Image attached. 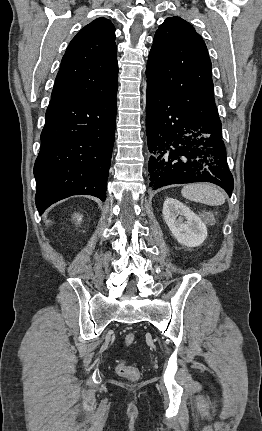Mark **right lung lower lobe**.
<instances>
[{
    "mask_svg": "<svg viewBox=\"0 0 262 431\" xmlns=\"http://www.w3.org/2000/svg\"><path fill=\"white\" fill-rule=\"evenodd\" d=\"M116 108V92L99 100L50 101L34 166L40 214L72 195L105 201Z\"/></svg>",
    "mask_w": 262,
    "mask_h": 431,
    "instance_id": "obj_1",
    "label": "right lung lower lobe"
}]
</instances>
